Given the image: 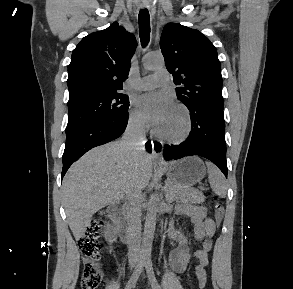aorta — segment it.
<instances>
[{"label":"aorta","mask_w":293,"mask_h":289,"mask_svg":"<svg viewBox=\"0 0 293 289\" xmlns=\"http://www.w3.org/2000/svg\"><path fill=\"white\" fill-rule=\"evenodd\" d=\"M144 68L147 70H156L164 66V59L161 56L149 55L144 59ZM158 195L152 194L147 204V214L142 238L141 254L149 257L152 249V242L156 227Z\"/></svg>","instance_id":"obj_1"}]
</instances>
